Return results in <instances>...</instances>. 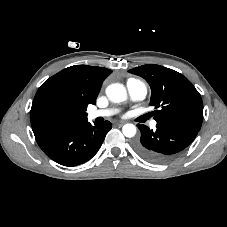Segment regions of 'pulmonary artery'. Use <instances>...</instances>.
Segmentation results:
<instances>
[{
  "label": "pulmonary artery",
  "instance_id": "e3ab8cb5",
  "mask_svg": "<svg viewBox=\"0 0 227 227\" xmlns=\"http://www.w3.org/2000/svg\"><path fill=\"white\" fill-rule=\"evenodd\" d=\"M127 91L129 95V99L133 102L143 100L147 95V86L144 82L138 79H129L127 81ZM117 112L116 109H100V110H93L88 112L87 117L89 120H94L99 117H108ZM152 127L156 126V121L151 123Z\"/></svg>",
  "mask_w": 227,
  "mask_h": 227
}]
</instances>
